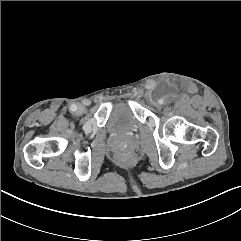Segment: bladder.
<instances>
[{
  "label": "bladder",
  "mask_w": 241,
  "mask_h": 241,
  "mask_svg": "<svg viewBox=\"0 0 241 241\" xmlns=\"http://www.w3.org/2000/svg\"><path fill=\"white\" fill-rule=\"evenodd\" d=\"M105 127L110 134L124 136L134 133L139 122L130 106L117 103L112 107Z\"/></svg>",
  "instance_id": "bladder-1"
}]
</instances>
